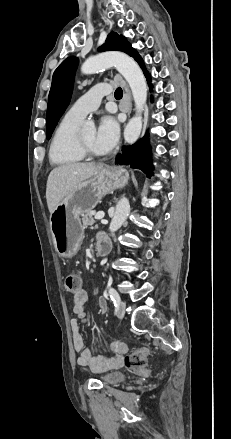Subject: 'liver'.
<instances>
[{
  "mask_svg": "<svg viewBox=\"0 0 231 439\" xmlns=\"http://www.w3.org/2000/svg\"><path fill=\"white\" fill-rule=\"evenodd\" d=\"M102 168L103 164L95 163H71L54 168L48 176L46 187L49 212L52 213L76 185L94 177Z\"/></svg>",
  "mask_w": 231,
  "mask_h": 439,
  "instance_id": "obj_1",
  "label": "liver"
}]
</instances>
